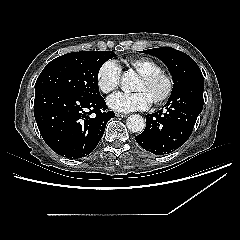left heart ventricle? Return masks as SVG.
Here are the masks:
<instances>
[{
	"mask_svg": "<svg viewBox=\"0 0 240 240\" xmlns=\"http://www.w3.org/2000/svg\"><path fill=\"white\" fill-rule=\"evenodd\" d=\"M164 89L165 84L160 80L152 83H146L142 79L138 78L134 86V90L143 91L151 102L160 96Z\"/></svg>",
	"mask_w": 240,
	"mask_h": 240,
	"instance_id": "obj_1",
	"label": "left heart ventricle"
}]
</instances>
